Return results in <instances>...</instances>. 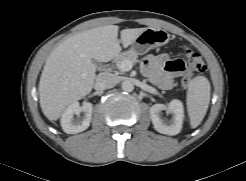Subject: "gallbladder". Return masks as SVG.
Here are the masks:
<instances>
[{
	"mask_svg": "<svg viewBox=\"0 0 246 181\" xmlns=\"http://www.w3.org/2000/svg\"><path fill=\"white\" fill-rule=\"evenodd\" d=\"M94 63H95V64H98V61L94 60Z\"/></svg>",
	"mask_w": 246,
	"mask_h": 181,
	"instance_id": "gallbladder-1",
	"label": "gallbladder"
}]
</instances>
